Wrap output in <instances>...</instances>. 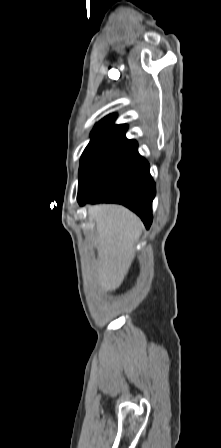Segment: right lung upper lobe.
<instances>
[{
	"mask_svg": "<svg viewBox=\"0 0 221 448\" xmlns=\"http://www.w3.org/2000/svg\"><path fill=\"white\" fill-rule=\"evenodd\" d=\"M115 118V114L109 115L95 125L91 132V141L86 148L108 147L115 149L128 141L125 137L127 125L113 124Z\"/></svg>",
	"mask_w": 221,
	"mask_h": 448,
	"instance_id": "right-lung-upper-lobe-1",
	"label": "right lung upper lobe"
}]
</instances>
